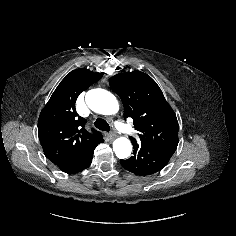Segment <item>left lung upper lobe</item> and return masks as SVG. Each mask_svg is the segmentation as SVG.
<instances>
[{"instance_id": "left-lung-upper-lobe-1", "label": "left lung upper lobe", "mask_w": 236, "mask_h": 236, "mask_svg": "<svg viewBox=\"0 0 236 236\" xmlns=\"http://www.w3.org/2000/svg\"><path fill=\"white\" fill-rule=\"evenodd\" d=\"M109 84L123 102L124 118H133L141 143H178L176 114L149 75L140 71L120 73Z\"/></svg>"}]
</instances>
